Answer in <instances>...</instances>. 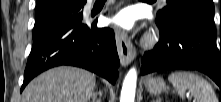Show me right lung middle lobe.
Listing matches in <instances>:
<instances>
[{
	"instance_id": "1",
	"label": "right lung middle lobe",
	"mask_w": 221,
	"mask_h": 102,
	"mask_svg": "<svg viewBox=\"0 0 221 102\" xmlns=\"http://www.w3.org/2000/svg\"><path fill=\"white\" fill-rule=\"evenodd\" d=\"M82 0H49L36 8L33 38L56 24L82 15Z\"/></svg>"
}]
</instances>
